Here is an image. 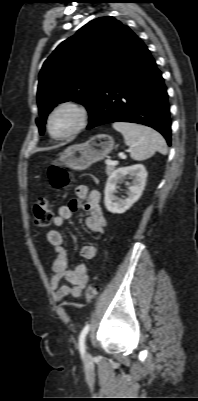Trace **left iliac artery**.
Wrapping results in <instances>:
<instances>
[{
	"label": "left iliac artery",
	"mask_w": 198,
	"mask_h": 401,
	"mask_svg": "<svg viewBox=\"0 0 198 401\" xmlns=\"http://www.w3.org/2000/svg\"><path fill=\"white\" fill-rule=\"evenodd\" d=\"M90 325L87 324L81 331L79 336V349L81 353L85 352V337L89 331Z\"/></svg>",
	"instance_id": "obj_1"
}]
</instances>
